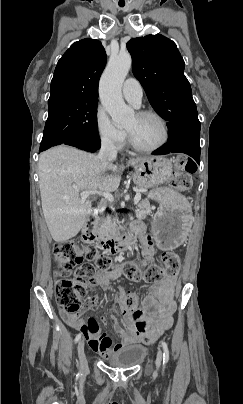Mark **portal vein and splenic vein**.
<instances>
[{
    "label": "portal vein and splenic vein",
    "mask_w": 243,
    "mask_h": 404,
    "mask_svg": "<svg viewBox=\"0 0 243 404\" xmlns=\"http://www.w3.org/2000/svg\"><path fill=\"white\" fill-rule=\"evenodd\" d=\"M91 194H100V196H104L106 200H109V202H113L114 198L110 192H81V200H86L88 196H91ZM139 200H141V194L140 192H136V196L134 198V204H138Z\"/></svg>",
    "instance_id": "18ae733b"
}]
</instances>
